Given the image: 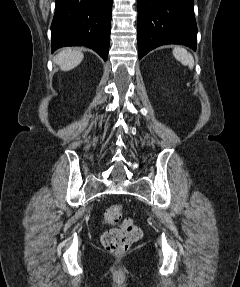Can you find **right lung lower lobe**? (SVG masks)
<instances>
[{"mask_svg": "<svg viewBox=\"0 0 240 287\" xmlns=\"http://www.w3.org/2000/svg\"><path fill=\"white\" fill-rule=\"evenodd\" d=\"M113 0H56L51 25L52 52L87 46L107 60Z\"/></svg>", "mask_w": 240, "mask_h": 287, "instance_id": "98d812e1", "label": "right lung lower lobe"}]
</instances>
